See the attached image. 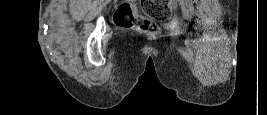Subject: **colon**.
I'll return each instance as SVG.
<instances>
[{"instance_id": "1", "label": "colon", "mask_w": 267, "mask_h": 115, "mask_svg": "<svg viewBox=\"0 0 267 115\" xmlns=\"http://www.w3.org/2000/svg\"><path fill=\"white\" fill-rule=\"evenodd\" d=\"M141 3L145 12L154 21L140 16L133 2H124L116 11V23L122 27H136L148 35H155L160 30L158 23H163L170 19L173 0H142Z\"/></svg>"}]
</instances>
